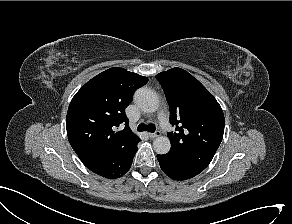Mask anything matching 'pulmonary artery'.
Here are the masks:
<instances>
[{"mask_svg": "<svg viewBox=\"0 0 292 224\" xmlns=\"http://www.w3.org/2000/svg\"><path fill=\"white\" fill-rule=\"evenodd\" d=\"M160 124L163 127H167L168 126V121L165 115H161L160 116Z\"/></svg>", "mask_w": 292, "mask_h": 224, "instance_id": "obj_1", "label": "pulmonary artery"}]
</instances>
